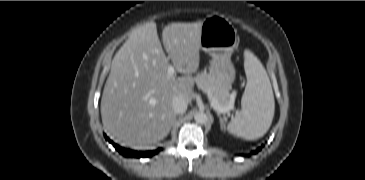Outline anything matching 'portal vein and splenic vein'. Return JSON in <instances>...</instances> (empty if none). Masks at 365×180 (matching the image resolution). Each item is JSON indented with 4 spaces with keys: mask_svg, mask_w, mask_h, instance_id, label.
<instances>
[{
    "mask_svg": "<svg viewBox=\"0 0 365 180\" xmlns=\"http://www.w3.org/2000/svg\"><path fill=\"white\" fill-rule=\"evenodd\" d=\"M167 73L169 76H173L175 74V68L174 66H172L171 64L168 67ZM211 106L218 111L219 113H229V111L233 108V106H228V107H222L217 100L215 99H211Z\"/></svg>",
    "mask_w": 365,
    "mask_h": 180,
    "instance_id": "obj_1",
    "label": "portal vein and splenic vein"
}]
</instances>
